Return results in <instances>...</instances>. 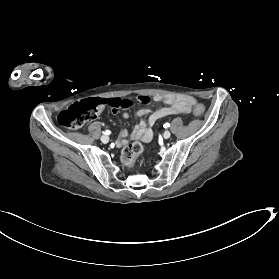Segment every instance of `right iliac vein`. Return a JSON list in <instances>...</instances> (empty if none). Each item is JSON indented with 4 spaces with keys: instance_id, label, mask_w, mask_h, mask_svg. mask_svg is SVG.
<instances>
[{
    "instance_id": "63e3f726",
    "label": "right iliac vein",
    "mask_w": 279,
    "mask_h": 279,
    "mask_svg": "<svg viewBox=\"0 0 279 279\" xmlns=\"http://www.w3.org/2000/svg\"><path fill=\"white\" fill-rule=\"evenodd\" d=\"M101 141H102L103 143H108V142H109V137H108L107 135H102V136H101Z\"/></svg>"
}]
</instances>
